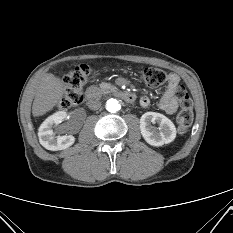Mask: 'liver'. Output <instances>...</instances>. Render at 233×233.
I'll list each match as a JSON object with an SVG mask.
<instances>
[{
	"label": "liver",
	"mask_w": 233,
	"mask_h": 233,
	"mask_svg": "<svg viewBox=\"0 0 233 233\" xmlns=\"http://www.w3.org/2000/svg\"><path fill=\"white\" fill-rule=\"evenodd\" d=\"M64 91L60 78L51 73L43 74L32 105L33 116H42L50 111L62 99Z\"/></svg>",
	"instance_id": "6515ba94"
}]
</instances>
